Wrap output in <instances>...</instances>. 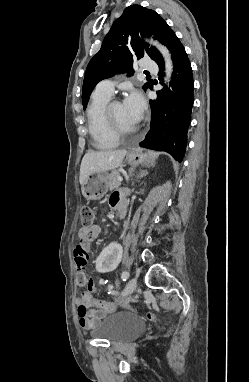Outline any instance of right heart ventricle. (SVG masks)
Returning a JSON list of instances; mask_svg holds the SVG:
<instances>
[{"label":"right heart ventricle","mask_w":249,"mask_h":382,"mask_svg":"<svg viewBox=\"0 0 249 382\" xmlns=\"http://www.w3.org/2000/svg\"><path fill=\"white\" fill-rule=\"evenodd\" d=\"M110 98V95L95 90L87 109L88 130L92 144L100 150L115 148L119 141L109 131L104 118V109Z\"/></svg>","instance_id":"obj_1"}]
</instances>
